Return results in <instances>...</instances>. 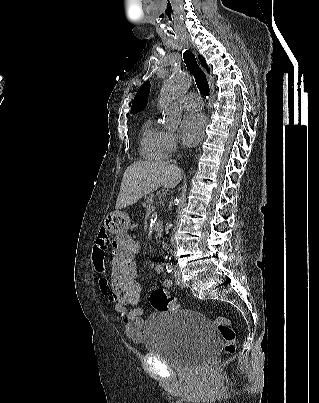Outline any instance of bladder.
Returning a JSON list of instances; mask_svg holds the SVG:
<instances>
[{
    "label": "bladder",
    "mask_w": 319,
    "mask_h": 403,
    "mask_svg": "<svg viewBox=\"0 0 319 403\" xmlns=\"http://www.w3.org/2000/svg\"><path fill=\"white\" fill-rule=\"evenodd\" d=\"M143 336L148 353L186 372L204 365L221 344L210 319L192 310L152 313Z\"/></svg>",
    "instance_id": "obj_1"
}]
</instances>
